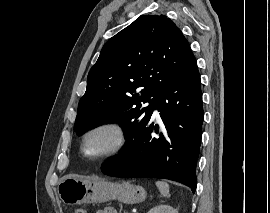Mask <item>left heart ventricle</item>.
I'll return each mask as SVG.
<instances>
[{
    "mask_svg": "<svg viewBox=\"0 0 270 213\" xmlns=\"http://www.w3.org/2000/svg\"><path fill=\"white\" fill-rule=\"evenodd\" d=\"M112 142V137L107 133H98L86 142L85 148L89 154H99Z\"/></svg>",
    "mask_w": 270,
    "mask_h": 213,
    "instance_id": "obj_1",
    "label": "left heart ventricle"
}]
</instances>
